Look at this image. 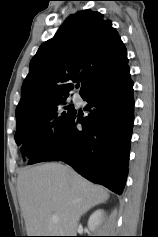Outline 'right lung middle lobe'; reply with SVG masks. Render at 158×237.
Segmentation results:
<instances>
[{
	"label": "right lung middle lobe",
	"instance_id": "dd1d6c3e",
	"mask_svg": "<svg viewBox=\"0 0 158 237\" xmlns=\"http://www.w3.org/2000/svg\"><path fill=\"white\" fill-rule=\"evenodd\" d=\"M76 113L66 98L53 101L40 111L16 118L15 140L23 156L31 159L47 140Z\"/></svg>",
	"mask_w": 158,
	"mask_h": 237
}]
</instances>
